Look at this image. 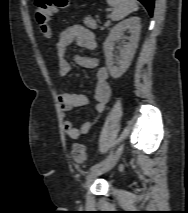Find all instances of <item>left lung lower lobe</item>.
I'll return each mask as SVG.
<instances>
[{
	"instance_id": "left-lung-lower-lobe-1",
	"label": "left lung lower lobe",
	"mask_w": 188,
	"mask_h": 213,
	"mask_svg": "<svg viewBox=\"0 0 188 213\" xmlns=\"http://www.w3.org/2000/svg\"><path fill=\"white\" fill-rule=\"evenodd\" d=\"M138 1H140L146 7L150 15H152L154 8V0H138Z\"/></svg>"
}]
</instances>
